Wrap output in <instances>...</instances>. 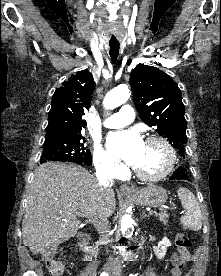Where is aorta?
<instances>
[{
  "label": "aorta",
  "instance_id": "762f6f07",
  "mask_svg": "<svg viewBox=\"0 0 221 276\" xmlns=\"http://www.w3.org/2000/svg\"><path fill=\"white\" fill-rule=\"evenodd\" d=\"M130 97V90L127 86H119L110 92L104 98L103 106L105 109H114L124 104ZM133 219L130 215H124L121 219V231L126 232L133 228Z\"/></svg>",
  "mask_w": 221,
  "mask_h": 276
}]
</instances>
